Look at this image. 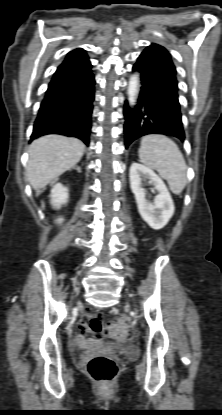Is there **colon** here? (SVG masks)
Wrapping results in <instances>:
<instances>
[{
  "label": "colon",
  "mask_w": 222,
  "mask_h": 415,
  "mask_svg": "<svg viewBox=\"0 0 222 415\" xmlns=\"http://www.w3.org/2000/svg\"><path fill=\"white\" fill-rule=\"evenodd\" d=\"M78 328L81 333L96 337L110 335L116 339H124L132 336L121 324L116 323L109 327L98 316L84 315ZM87 372L95 381L111 382L116 376L117 365L111 357L96 356L87 363Z\"/></svg>",
  "instance_id": "obj_1"
}]
</instances>
